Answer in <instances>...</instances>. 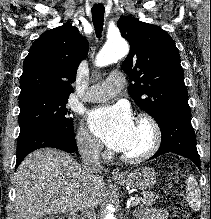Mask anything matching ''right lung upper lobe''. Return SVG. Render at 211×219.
Segmentation results:
<instances>
[{
	"mask_svg": "<svg viewBox=\"0 0 211 219\" xmlns=\"http://www.w3.org/2000/svg\"><path fill=\"white\" fill-rule=\"evenodd\" d=\"M89 44L71 24L44 32L31 46L20 77L19 101L34 97H69Z\"/></svg>",
	"mask_w": 211,
	"mask_h": 219,
	"instance_id": "obj_1",
	"label": "right lung upper lobe"
}]
</instances>
